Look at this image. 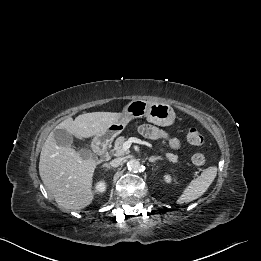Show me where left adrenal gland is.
Returning <instances> with one entry per match:
<instances>
[{"label":"left adrenal gland","instance_id":"a2214340","mask_svg":"<svg viewBox=\"0 0 261 261\" xmlns=\"http://www.w3.org/2000/svg\"><path fill=\"white\" fill-rule=\"evenodd\" d=\"M148 160L149 162L155 163L157 160H162V158L159 156H151Z\"/></svg>","mask_w":261,"mask_h":261}]
</instances>
